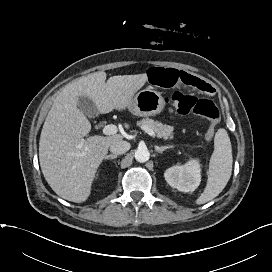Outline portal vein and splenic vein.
Segmentation results:
<instances>
[{"label": "portal vein and splenic vein", "mask_w": 272, "mask_h": 272, "mask_svg": "<svg viewBox=\"0 0 272 272\" xmlns=\"http://www.w3.org/2000/svg\"><path fill=\"white\" fill-rule=\"evenodd\" d=\"M147 134H149L151 137L155 138L156 135H155V132L153 130H151L150 128H147V127H143L142 128ZM103 133L105 135H114L117 133V126L116 125H113V124H109V125H106L104 128H103Z\"/></svg>", "instance_id": "1"}]
</instances>
